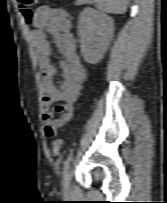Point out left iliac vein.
Returning <instances> with one entry per match:
<instances>
[{
    "label": "left iliac vein",
    "mask_w": 167,
    "mask_h": 203,
    "mask_svg": "<svg viewBox=\"0 0 167 203\" xmlns=\"http://www.w3.org/2000/svg\"><path fill=\"white\" fill-rule=\"evenodd\" d=\"M71 192H72L71 173H70V171H67L65 178L63 180V193L65 195H69Z\"/></svg>",
    "instance_id": "left-iliac-vein-1"
}]
</instances>
